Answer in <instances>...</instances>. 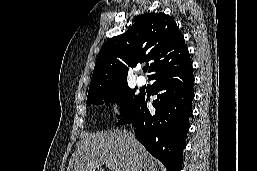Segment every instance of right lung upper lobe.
<instances>
[{"mask_svg":"<svg viewBox=\"0 0 257 171\" xmlns=\"http://www.w3.org/2000/svg\"><path fill=\"white\" fill-rule=\"evenodd\" d=\"M182 32L164 13L141 15L127 32L109 39L98 53L89 92L127 83L129 67L149 62L153 77L189 59Z\"/></svg>","mask_w":257,"mask_h":171,"instance_id":"right-lung-upper-lobe-1","label":"right lung upper lobe"}]
</instances>
